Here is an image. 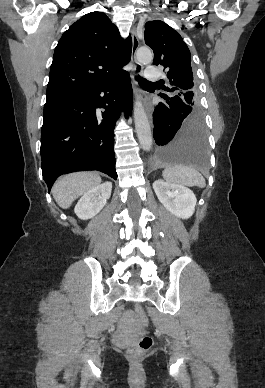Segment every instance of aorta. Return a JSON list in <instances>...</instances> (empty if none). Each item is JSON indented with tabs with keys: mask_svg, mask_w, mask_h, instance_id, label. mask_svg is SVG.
<instances>
[{
	"mask_svg": "<svg viewBox=\"0 0 265 388\" xmlns=\"http://www.w3.org/2000/svg\"><path fill=\"white\" fill-rule=\"evenodd\" d=\"M136 58L139 63H150L153 59V53L150 49L142 47L136 52ZM134 122L141 147L143 150L149 151L152 146V133L147 115L140 101L135 102Z\"/></svg>",
	"mask_w": 265,
	"mask_h": 388,
	"instance_id": "1",
	"label": "aorta"
}]
</instances>
